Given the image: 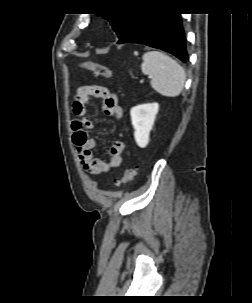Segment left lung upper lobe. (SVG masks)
I'll list each match as a JSON object with an SVG mask.
<instances>
[{
  "mask_svg": "<svg viewBox=\"0 0 252 303\" xmlns=\"http://www.w3.org/2000/svg\"><path fill=\"white\" fill-rule=\"evenodd\" d=\"M144 15V12L99 14L110 21L119 40L130 33Z\"/></svg>",
  "mask_w": 252,
  "mask_h": 303,
  "instance_id": "5c2ea615",
  "label": "left lung upper lobe"
}]
</instances>
